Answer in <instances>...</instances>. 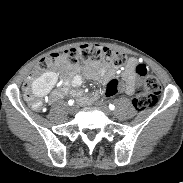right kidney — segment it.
Here are the masks:
<instances>
[{
  "instance_id": "ca27d5eb",
  "label": "right kidney",
  "mask_w": 183,
  "mask_h": 183,
  "mask_svg": "<svg viewBox=\"0 0 183 183\" xmlns=\"http://www.w3.org/2000/svg\"><path fill=\"white\" fill-rule=\"evenodd\" d=\"M57 74L55 72H45L32 83V93L35 97L42 98L47 95L56 83Z\"/></svg>"
}]
</instances>
